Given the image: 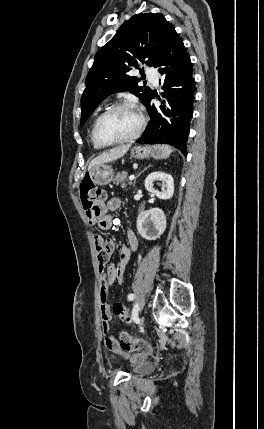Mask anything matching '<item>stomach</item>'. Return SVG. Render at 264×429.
<instances>
[{"label":"stomach","mask_w":264,"mask_h":429,"mask_svg":"<svg viewBox=\"0 0 264 429\" xmlns=\"http://www.w3.org/2000/svg\"><path fill=\"white\" fill-rule=\"evenodd\" d=\"M171 153V148L167 145H149V146H135L131 149V156L135 159H164ZM89 178L94 184L106 185L114 176L113 168L108 164H100L93 167L88 172Z\"/></svg>","instance_id":"stomach-1"}]
</instances>
